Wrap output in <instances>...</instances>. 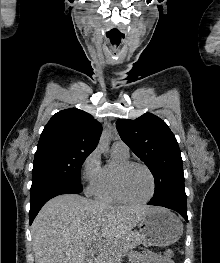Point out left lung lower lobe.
Listing matches in <instances>:
<instances>
[{
    "instance_id": "left-lung-lower-lobe-1",
    "label": "left lung lower lobe",
    "mask_w": 220,
    "mask_h": 263,
    "mask_svg": "<svg viewBox=\"0 0 220 263\" xmlns=\"http://www.w3.org/2000/svg\"><path fill=\"white\" fill-rule=\"evenodd\" d=\"M148 204L149 205H155V206H163V207L175 210L188 222L187 206L186 207H181V206H177V205L170 204V203L152 202V201H150Z\"/></svg>"
}]
</instances>
